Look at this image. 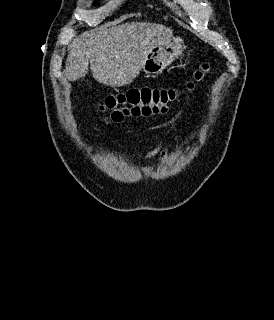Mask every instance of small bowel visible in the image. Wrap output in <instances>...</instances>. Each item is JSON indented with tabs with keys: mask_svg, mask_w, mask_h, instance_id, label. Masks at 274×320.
<instances>
[{
	"mask_svg": "<svg viewBox=\"0 0 274 320\" xmlns=\"http://www.w3.org/2000/svg\"><path fill=\"white\" fill-rule=\"evenodd\" d=\"M168 156V148L164 145L162 139L160 138L156 147L147 152L144 156L145 160H150L153 158H158L161 164H165Z\"/></svg>",
	"mask_w": 274,
	"mask_h": 320,
	"instance_id": "obj_1",
	"label": "small bowel"
}]
</instances>
